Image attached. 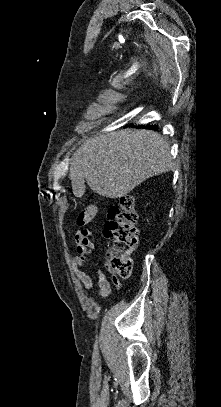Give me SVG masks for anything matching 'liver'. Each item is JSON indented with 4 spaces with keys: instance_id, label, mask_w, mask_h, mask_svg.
I'll return each instance as SVG.
<instances>
[{
    "instance_id": "6515ba94",
    "label": "liver",
    "mask_w": 221,
    "mask_h": 407,
    "mask_svg": "<svg viewBox=\"0 0 221 407\" xmlns=\"http://www.w3.org/2000/svg\"><path fill=\"white\" fill-rule=\"evenodd\" d=\"M174 168L164 137L151 130L127 129L85 139L72 158L69 178L86 179L92 191L115 199Z\"/></svg>"
}]
</instances>
